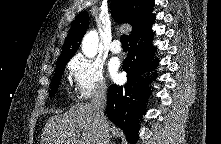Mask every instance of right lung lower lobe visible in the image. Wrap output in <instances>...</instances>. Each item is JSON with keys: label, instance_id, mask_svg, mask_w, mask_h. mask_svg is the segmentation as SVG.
<instances>
[{"label": "right lung lower lobe", "instance_id": "right-lung-lower-lobe-1", "mask_svg": "<svg viewBox=\"0 0 221 144\" xmlns=\"http://www.w3.org/2000/svg\"><path fill=\"white\" fill-rule=\"evenodd\" d=\"M154 32L151 27L129 39V53L124 60L123 69L127 72V83L124 86L111 85L108 90L107 116L126 134L129 142H137L139 120L145 111V102L152 91L148 83L156 79L157 73L151 78L141 77V74L153 70L158 65V59L149 60L156 50L152 47Z\"/></svg>", "mask_w": 221, "mask_h": 144}]
</instances>
